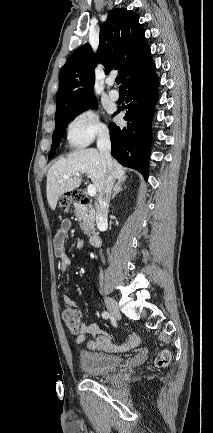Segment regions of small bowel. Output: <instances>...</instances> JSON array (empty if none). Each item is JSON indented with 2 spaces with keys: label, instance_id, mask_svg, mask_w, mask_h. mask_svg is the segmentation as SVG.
Here are the masks:
<instances>
[{
  "label": "small bowel",
  "instance_id": "obj_1",
  "mask_svg": "<svg viewBox=\"0 0 213 433\" xmlns=\"http://www.w3.org/2000/svg\"><path fill=\"white\" fill-rule=\"evenodd\" d=\"M70 227L71 222L68 219H64L53 238L54 255L58 259L59 269L62 273L68 272L71 265V257L67 254L65 249V242ZM76 246L78 248L83 247L84 240H78ZM63 299L65 304L73 305L72 300L67 294H64ZM76 343L78 345H86L91 351L120 353L136 347L140 343V338L137 334L133 333L130 334L122 344L114 345L111 342V337L108 332L100 330L96 323H90L82 324L80 326L76 337Z\"/></svg>",
  "mask_w": 213,
  "mask_h": 433
}]
</instances>
